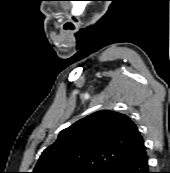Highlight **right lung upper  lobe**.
<instances>
[{
    "label": "right lung upper lobe",
    "instance_id": "cb5924a9",
    "mask_svg": "<svg viewBox=\"0 0 170 173\" xmlns=\"http://www.w3.org/2000/svg\"><path fill=\"white\" fill-rule=\"evenodd\" d=\"M143 146V137L128 116L101 110L62 130L44 150L33 173L105 170Z\"/></svg>",
    "mask_w": 170,
    "mask_h": 173
}]
</instances>
